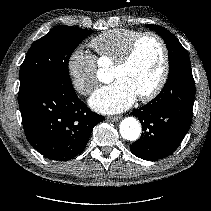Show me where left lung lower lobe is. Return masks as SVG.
<instances>
[{"label":"left lung lower lobe","mask_w":211,"mask_h":211,"mask_svg":"<svg viewBox=\"0 0 211 211\" xmlns=\"http://www.w3.org/2000/svg\"><path fill=\"white\" fill-rule=\"evenodd\" d=\"M194 99L191 65L170 72L162 91L147 105L133 111L144 133L130 146L131 152L151 161L171 155L190 128Z\"/></svg>","instance_id":"left-lung-lower-lobe-1"}]
</instances>
